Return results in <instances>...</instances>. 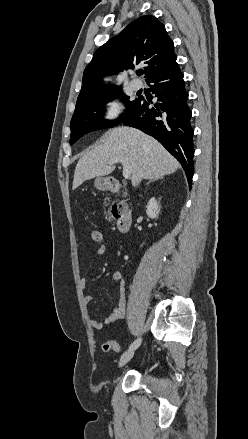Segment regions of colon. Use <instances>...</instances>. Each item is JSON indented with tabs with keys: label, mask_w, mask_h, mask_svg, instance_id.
Instances as JSON below:
<instances>
[{
	"label": "colon",
	"mask_w": 248,
	"mask_h": 439,
	"mask_svg": "<svg viewBox=\"0 0 248 439\" xmlns=\"http://www.w3.org/2000/svg\"><path fill=\"white\" fill-rule=\"evenodd\" d=\"M90 239H91V241H92L94 244L101 245L102 242H103V235H102V233H101L100 230H98V229H93V230L90 232ZM102 350H103L104 352H108V351H110V350H113V351L119 352V351H120V345H119V343L116 342L115 340H108V341H106V342L103 343V345H102Z\"/></svg>",
	"instance_id": "1"
}]
</instances>
